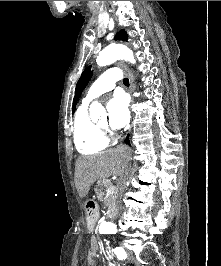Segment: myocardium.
I'll use <instances>...</instances> for the list:
<instances>
[{
	"label": "myocardium",
	"mask_w": 221,
	"mask_h": 266,
	"mask_svg": "<svg viewBox=\"0 0 221 266\" xmlns=\"http://www.w3.org/2000/svg\"><path fill=\"white\" fill-rule=\"evenodd\" d=\"M98 126L100 127V129L102 130V132H103V134H104L105 136L111 134V132H110V130L108 129L107 126H102V125H100V124H99Z\"/></svg>",
	"instance_id": "f54148a6"
}]
</instances>
